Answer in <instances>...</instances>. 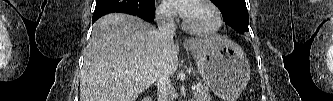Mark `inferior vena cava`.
Listing matches in <instances>:
<instances>
[{
	"mask_svg": "<svg viewBox=\"0 0 333 101\" xmlns=\"http://www.w3.org/2000/svg\"><path fill=\"white\" fill-rule=\"evenodd\" d=\"M157 25L163 53L167 54L169 49L174 45L173 37L175 35V23L170 12L162 10L157 13ZM169 73L162 74L157 80L158 101H168L169 98Z\"/></svg>",
	"mask_w": 333,
	"mask_h": 101,
	"instance_id": "inferior-vena-cava-1",
	"label": "inferior vena cava"
}]
</instances>
